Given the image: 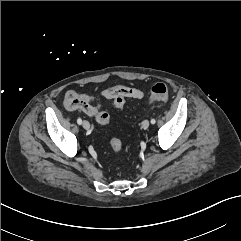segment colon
Returning <instances> with one entry per match:
<instances>
[{
	"label": "colon",
	"instance_id": "5ec220e1",
	"mask_svg": "<svg viewBox=\"0 0 241 241\" xmlns=\"http://www.w3.org/2000/svg\"><path fill=\"white\" fill-rule=\"evenodd\" d=\"M111 94L114 96V106L117 109H122L126 103L125 89L120 87L115 88L114 90H112ZM168 97L169 90L166 84L157 83L152 87L150 95V99L152 101H166L168 100ZM97 121L102 125H106L110 121V115L105 111H101L97 116ZM110 146L114 152H119L122 150L123 145L120 139L113 138L110 141Z\"/></svg>",
	"mask_w": 241,
	"mask_h": 241
}]
</instances>
